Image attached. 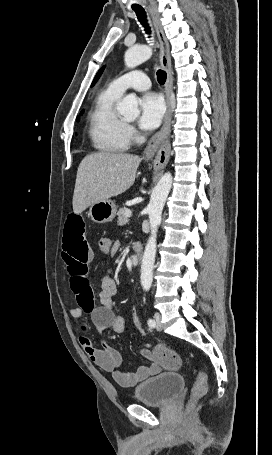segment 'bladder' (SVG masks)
Returning <instances> with one entry per match:
<instances>
[{"mask_svg":"<svg viewBox=\"0 0 272 455\" xmlns=\"http://www.w3.org/2000/svg\"><path fill=\"white\" fill-rule=\"evenodd\" d=\"M184 377L176 372H162L140 383L134 390V399L152 406L169 404L184 388Z\"/></svg>","mask_w":272,"mask_h":455,"instance_id":"bladder-1","label":"bladder"}]
</instances>
